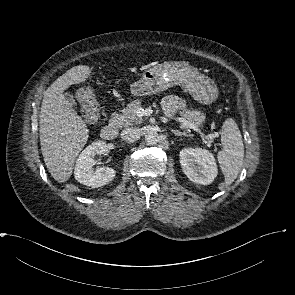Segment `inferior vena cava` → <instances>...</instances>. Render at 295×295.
I'll return each instance as SVG.
<instances>
[{
  "instance_id": "1",
  "label": "inferior vena cava",
  "mask_w": 295,
  "mask_h": 295,
  "mask_svg": "<svg viewBox=\"0 0 295 295\" xmlns=\"http://www.w3.org/2000/svg\"><path fill=\"white\" fill-rule=\"evenodd\" d=\"M140 133L141 130L138 127L126 128L121 132V138L126 141H133L140 135Z\"/></svg>"
}]
</instances>
